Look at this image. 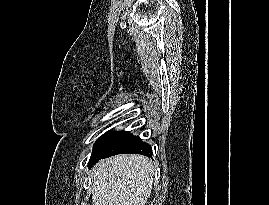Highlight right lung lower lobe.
Masks as SVG:
<instances>
[{
	"label": "right lung lower lobe",
	"mask_w": 269,
	"mask_h": 205,
	"mask_svg": "<svg viewBox=\"0 0 269 205\" xmlns=\"http://www.w3.org/2000/svg\"><path fill=\"white\" fill-rule=\"evenodd\" d=\"M123 153H135L151 157L152 150L148 143L129 132H108L94 144L88 166L91 167L100 159Z\"/></svg>",
	"instance_id": "obj_1"
}]
</instances>
